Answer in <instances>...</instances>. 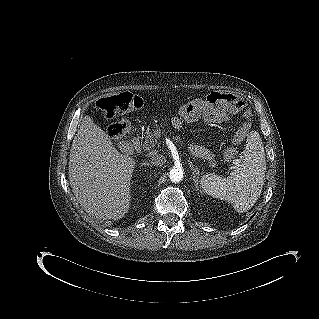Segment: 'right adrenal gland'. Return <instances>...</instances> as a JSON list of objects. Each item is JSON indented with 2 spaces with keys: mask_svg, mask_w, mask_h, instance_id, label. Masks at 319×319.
Segmentation results:
<instances>
[{
  "mask_svg": "<svg viewBox=\"0 0 319 319\" xmlns=\"http://www.w3.org/2000/svg\"><path fill=\"white\" fill-rule=\"evenodd\" d=\"M143 165L149 166V163H148V162L142 163V166H143Z\"/></svg>",
  "mask_w": 319,
  "mask_h": 319,
  "instance_id": "1",
  "label": "right adrenal gland"
}]
</instances>
